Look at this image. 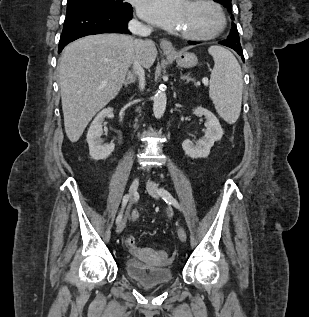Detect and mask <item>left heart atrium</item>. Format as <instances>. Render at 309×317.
<instances>
[{
    "label": "left heart atrium",
    "instance_id": "1",
    "mask_svg": "<svg viewBox=\"0 0 309 317\" xmlns=\"http://www.w3.org/2000/svg\"><path fill=\"white\" fill-rule=\"evenodd\" d=\"M186 0H141L138 5L139 15L166 30H180Z\"/></svg>",
    "mask_w": 309,
    "mask_h": 317
}]
</instances>
